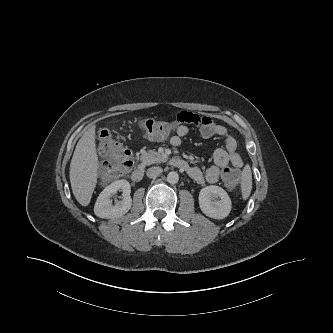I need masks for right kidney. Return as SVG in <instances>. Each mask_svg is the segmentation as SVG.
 Listing matches in <instances>:
<instances>
[{"label":"right kidney","instance_id":"obj_1","mask_svg":"<svg viewBox=\"0 0 333 333\" xmlns=\"http://www.w3.org/2000/svg\"><path fill=\"white\" fill-rule=\"evenodd\" d=\"M118 191L123 192V200L112 205L111 197ZM130 192L131 187L127 180L122 179L111 183L98 196L94 206L95 215L100 218L110 219L126 214L132 206Z\"/></svg>","mask_w":333,"mask_h":333}]
</instances>
